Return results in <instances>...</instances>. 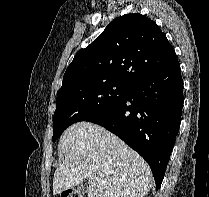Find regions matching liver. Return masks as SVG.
<instances>
[{
	"label": "liver",
	"instance_id": "6515ba94",
	"mask_svg": "<svg viewBox=\"0 0 209 197\" xmlns=\"http://www.w3.org/2000/svg\"><path fill=\"white\" fill-rule=\"evenodd\" d=\"M58 150L65 159L54 173L53 195L85 179L88 197H144L151 188L153 176L145 160L97 124L71 125L62 134Z\"/></svg>",
	"mask_w": 209,
	"mask_h": 197
}]
</instances>
